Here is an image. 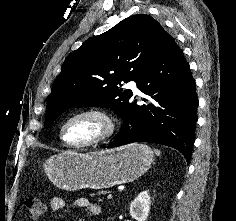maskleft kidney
Segmentation results:
<instances>
[{"instance_id": "5707ae66", "label": "left kidney", "mask_w": 236, "mask_h": 221, "mask_svg": "<svg viewBox=\"0 0 236 221\" xmlns=\"http://www.w3.org/2000/svg\"><path fill=\"white\" fill-rule=\"evenodd\" d=\"M151 197L148 191L141 192L130 204V215L137 221H145L149 215Z\"/></svg>"}]
</instances>
